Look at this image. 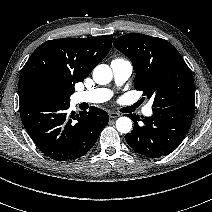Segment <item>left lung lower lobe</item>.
<instances>
[{
	"instance_id": "obj_1",
	"label": "left lung lower lobe",
	"mask_w": 212,
	"mask_h": 212,
	"mask_svg": "<svg viewBox=\"0 0 212 212\" xmlns=\"http://www.w3.org/2000/svg\"><path fill=\"white\" fill-rule=\"evenodd\" d=\"M194 109L193 104L154 108L153 115L142 117V120L138 115L129 114L134 122V129L125 135V140L135 152L146 157L166 156L173 152L186 136ZM139 121L143 123L139 124Z\"/></svg>"
}]
</instances>
